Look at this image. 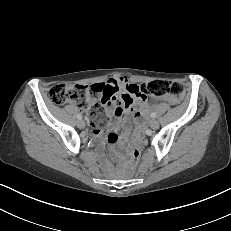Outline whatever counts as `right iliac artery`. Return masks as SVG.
Returning a JSON list of instances; mask_svg holds the SVG:
<instances>
[{"instance_id":"82829eb1","label":"right iliac artery","mask_w":231,"mask_h":231,"mask_svg":"<svg viewBox=\"0 0 231 231\" xmlns=\"http://www.w3.org/2000/svg\"><path fill=\"white\" fill-rule=\"evenodd\" d=\"M77 118L80 120V119H82V116L80 114H78Z\"/></svg>"}]
</instances>
